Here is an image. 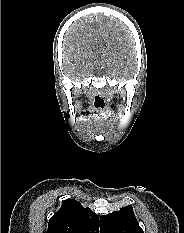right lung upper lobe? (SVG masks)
Wrapping results in <instances>:
<instances>
[{"label":"right lung upper lobe","mask_w":184,"mask_h":233,"mask_svg":"<svg viewBox=\"0 0 184 233\" xmlns=\"http://www.w3.org/2000/svg\"><path fill=\"white\" fill-rule=\"evenodd\" d=\"M46 233H99V219L89 207L67 199L49 219Z\"/></svg>","instance_id":"cb5924a9"}]
</instances>
